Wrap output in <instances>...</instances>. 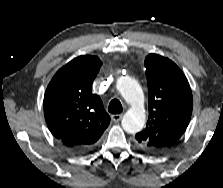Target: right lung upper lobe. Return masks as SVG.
Wrapping results in <instances>:
<instances>
[{"label":"right lung upper lobe","mask_w":223,"mask_h":188,"mask_svg":"<svg viewBox=\"0 0 223 188\" xmlns=\"http://www.w3.org/2000/svg\"><path fill=\"white\" fill-rule=\"evenodd\" d=\"M102 62L79 56L55 74L44 95V116L56 139L67 148L91 149L110 122L92 83Z\"/></svg>","instance_id":"cb5924a9"}]
</instances>
